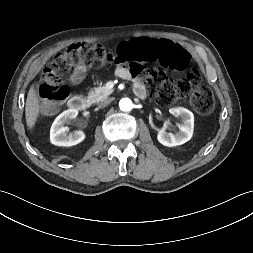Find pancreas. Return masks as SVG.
Returning a JSON list of instances; mask_svg holds the SVG:
<instances>
[{
  "label": "pancreas",
  "instance_id": "obj_1",
  "mask_svg": "<svg viewBox=\"0 0 253 253\" xmlns=\"http://www.w3.org/2000/svg\"><path fill=\"white\" fill-rule=\"evenodd\" d=\"M112 92H113V89H108L105 85H103V86H99L95 88L94 90H91L88 93V98L93 103H95L102 99L107 98Z\"/></svg>",
  "mask_w": 253,
  "mask_h": 253
}]
</instances>
